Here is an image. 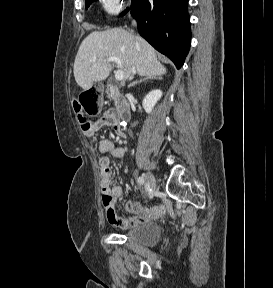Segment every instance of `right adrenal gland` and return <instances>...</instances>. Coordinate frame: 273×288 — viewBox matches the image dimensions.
Segmentation results:
<instances>
[{"instance_id":"1","label":"right adrenal gland","mask_w":273,"mask_h":288,"mask_svg":"<svg viewBox=\"0 0 273 288\" xmlns=\"http://www.w3.org/2000/svg\"><path fill=\"white\" fill-rule=\"evenodd\" d=\"M153 79H161L160 77H153V76H145L143 77L142 79H140L139 81H135L133 82L130 87H134L135 85H137L138 83H142V82H145L147 80H153Z\"/></svg>"}]
</instances>
